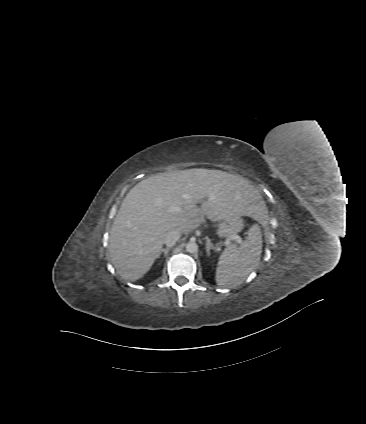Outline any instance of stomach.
Listing matches in <instances>:
<instances>
[{"instance_id":"0dacf381","label":"stomach","mask_w":366,"mask_h":424,"mask_svg":"<svg viewBox=\"0 0 366 424\" xmlns=\"http://www.w3.org/2000/svg\"><path fill=\"white\" fill-rule=\"evenodd\" d=\"M241 216L237 215L222 219L217 229L218 236L223 238L240 232L243 228Z\"/></svg>"}]
</instances>
